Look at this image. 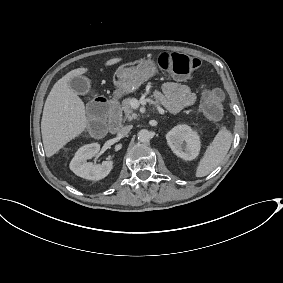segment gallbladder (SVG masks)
Instances as JSON below:
<instances>
[{
  "instance_id": "bac80fb5",
  "label": "gallbladder",
  "mask_w": 283,
  "mask_h": 283,
  "mask_svg": "<svg viewBox=\"0 0 283 283\" xmlns=\"http://www.w3.org/2000/svg\"><path fill=\"white\" fill-rule=\"evenodd\" d=\"M69 86L76 93L84 95L88 92L90 87V80L84 76H77L69 81Z\"/></svg>"
}]
</instances>
